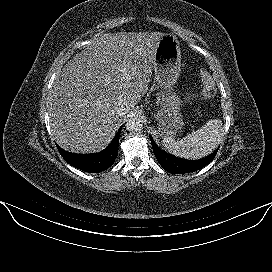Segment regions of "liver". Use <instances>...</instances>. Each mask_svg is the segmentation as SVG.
<instances>
[{"label": "liver", "mask_w": 272, "mask_h": 272, "mask_svg": "<svg viewBox=\"0 0 272 272\" xmlns=\"http://www.w3.org/2000/svg\"><path fill=\"white\" fill-rule=\"evenodd\" d=\"M161 32L98 33L55 81L49 101L53 136L64 150L104 149L119 126L114 107H133L148 90Z\"/></svg>", "instance_id": "1"}]
</instances>
